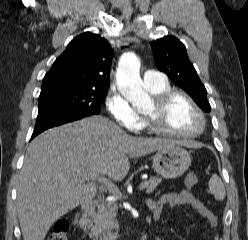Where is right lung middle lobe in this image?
<instances>
[{"instance_id": "1", "label": "right lung middle lobe", "mask_w": 248, "mask_h": 240, "mask_svg": "<svg viewBox=\"0 0 248 240\" xmlns=\"http://www.w3.org/2000/svg\"><path fill=\"white\" fill-rule=\"evenodd\" d=\"M105 90L65 88L40 93L38 115L66 114L90 116L100 113Z\"/></svg>"}]
</instances>
